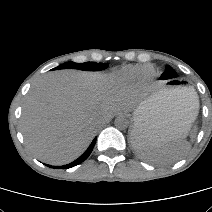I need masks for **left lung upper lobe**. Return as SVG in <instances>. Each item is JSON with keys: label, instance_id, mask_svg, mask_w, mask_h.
I'll return each instance as SVG.
<instances>
[{"label": "left lung upper lobe", "instance_id": "obj_1", "mask_svg": "<svg viewBox=\"0 0 212 212\" xmlns=\"http://www.w3.org/2000/svg\"><path fill=\"white\" fill-rule=\"evenodd\" d=\"M176 76L177 75L174 72V70L170 66H167L166 71L161 75L160 79L168 80V79L175 78Z\"/></svg>", "mask_w": 212, "mask_h": 212}]
</instances>
